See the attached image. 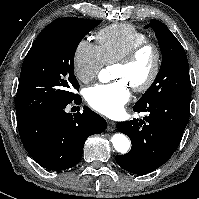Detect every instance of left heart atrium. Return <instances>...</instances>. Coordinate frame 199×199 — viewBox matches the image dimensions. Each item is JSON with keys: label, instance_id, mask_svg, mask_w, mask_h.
Returning a JSON list of instances; mask_svg holds the SVG:
<instances>
[{"label": "left heart atrium", "instance_id": "39dd6f15", "mask_svg": "<svg viewBox=\"0 0 199 199\" xmlns=\"http://www.w3.org/2000/svg\"><path fill=\"white\" fill-rule=\"evenodd\" d=\"M86 100L94 110L105 116H119L130 100L129 85L123 79L95 85L87 90Z\"/></svg>", "mask_w": 199, "mask_h": 199}]
</instances>
